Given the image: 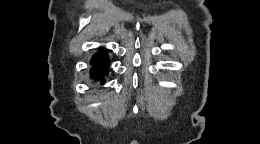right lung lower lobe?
Here are the masks:
<instances>
[{
	"instance_id": "98d812e1",
	"label": "right lung lower lobe",
	"mask_w": 260,
	"mask_h": 144,
	"mask_svg": "<svg viewBox=\"0 0 260 144\" xmlns=\"http://www.w3.org/2000/svg\"><path fill=\"white\" fill-rule=\"evenodd\" d=\"M90 76L96 81H100L104 84V76L108 74L107 68L109 66V59L106 50L100 49L91 59Z\"/></svg>"
}]
</instances>
